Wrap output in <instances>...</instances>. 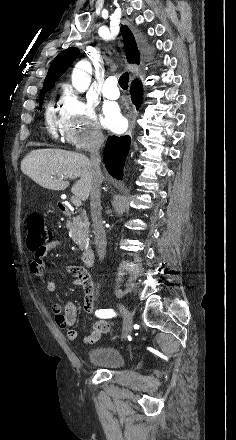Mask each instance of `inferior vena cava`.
<instances>
[{"instance_id": "inferior-vena-cava-1", "label": "inferior vena cava", "mask_w": 236, "mask_h": 440, "mask_svg": "<svg viewBox=\"0 0 236 440\" xmlns=\"http://www.w3.org/2000/svg\"><path fill=\"white\" fill-rule=\"evenodd\" d=\"M104 142L103 135L99 132H94L92 136V143L90 148V161L93 173V185L90 193V206H91V217L93 222V233L95 235V245L99 259H104L106 255V233L102 223L101 216V201H100V187L103 181L102 172L100 169L101 157H100V147Z\"/></svg>"}]
</instances>
